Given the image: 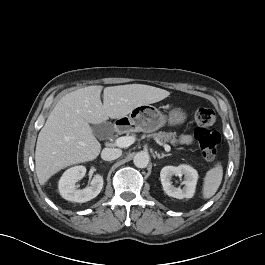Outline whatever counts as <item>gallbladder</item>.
I'll list each match as a JSON object with an SVG mask.
<instances>
[{
  "label": "gallbladder",
  "mask_w": 265,
  "mask_h": 265,
  "mask_svg": "<svg viewBox=\"0 0 265 265\" xmlns=\"http://www.w3.org/2000/svg\"><path fill=\"white\" fill-rule=\"evenodd\" d=\"M112 131H113V125L108 122H103L93 127V132L98 138H103Z\"/></svg>",
  "instance_id": "bac80fb5"
}]
</instances>
